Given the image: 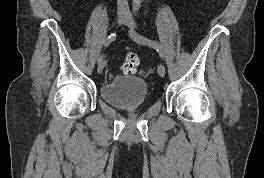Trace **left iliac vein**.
Returning <instances> with one entry per match:
<instances>
[{
  "label": "left iliac vein",
  "instance_id": "obj_1",
  "mask_svg": "<svg viewBox=\"0 0 264 178\" xmlns=\"http://www.w3.org/2000/svg\"><path fill=\"white\" fill-rule=\"evenodd\" d=\"M124 24L130 27L132 30L136 26L134 19L131 16H127V19L124 21ZM157 72L160 77L165 76V67L163 64H159L157 67Z\"/></svg>",
  "mask_w": 264,
  "mask_h": 178
}]
</instances>
